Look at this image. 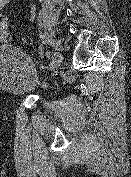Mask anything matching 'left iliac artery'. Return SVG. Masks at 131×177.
I'll return each instance as SVG.
<instances>
[{
    "mask_svg": "<svg viewBox=\"0 0 131 177\" xmlns=\"http://www.w3.org/2000/svg\"><path fill=\"white\" fill-rule=\"evenodd\" d=\"M50 43L54 45V42L51 41ZM45 56L47 57L46 63H47V64H52V63H53V60L50 59V57L52 56V53H51V52H46V53H45Z\"/></svg>",
    "mask_w": 131,
    "mask_h": 177,
    "instance_id": "left-iliac-artery-1",
    "label": "left iliac artery"
}]
</instances>
